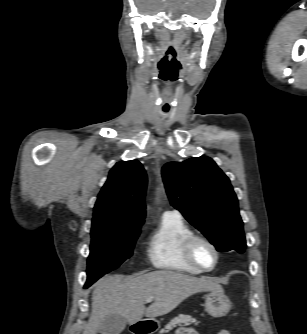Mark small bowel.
<instances>
[{"mask_svg":"<svg viewBox=\"0 0 307 334\" xmlns=\"http://www.w3.org/2000/svg\"><path fill=\"white\" fill-rule=\"evenodd\" d=\"M179 334H190V333L181 331V332H179ZM217 334H230V333H229L228 330H226V329H222V330H220Z\"/></svg>","mask_w":307,"mask_h":334,"instance_id":"c3829d8e","label":"small bowel"}]
</instances>
